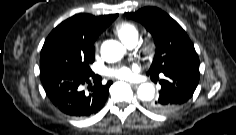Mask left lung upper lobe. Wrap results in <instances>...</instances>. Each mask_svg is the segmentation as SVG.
<instances>
[{
  "mask_svg": "<svg viewBox=\"0 0 236 135\" xmlns=\"http://www.w3.org/2000/svg\"><path fill=\"white\" fill-rule=\"evenodd\" d=\"M125 15L141 22L154 38L156 53L148 74H159L199 59L186 32L164 11L145 7Z\"/></svg>",
  "mask_w": 236,
  "mask_h": 135,
  "instance_id": "5c2ea615",
  "label": "left lung upper lobe"
}]
</instances>
